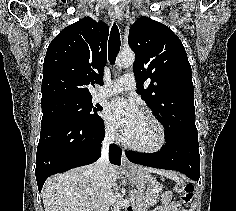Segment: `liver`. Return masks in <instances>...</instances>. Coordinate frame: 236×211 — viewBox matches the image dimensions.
I'll return each mask as SVG.
<instances>
[{"label": "liver", "mask_w": 236, "mask_h": 211, "mask_svg": "<svg viewBox=\"0 0 236 211\" xmlns=\"http://www.w3.org/2000/svg\"><path fill=\"white\" fill-rule=\"evenodd\" d=\"M139 168L145 172L172 175L164 170L143 166ZM118 176V168L110 165L107 182L111 188L116 185ZM103 196L102 186L97 182L93 166H82L56 174L47 179L42 190L45 211H96L95 207Z\"/></svg>", "instance_id": "6515ba94"}]
</instances>
